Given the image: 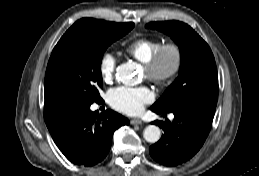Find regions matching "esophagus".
Instances as JSON below:
<instances>
[{
    "label": "esophagus",
    "mask_w": 259,
    "mask_h": 176,
    "mask_svg": "<svg viewBox=\"0 0 259 176\" xmlns=\"http://www.w3.org/2000/svg\"><path fill=\"white\" fill-rule=\"evenodd\" d=\"M130 122H131L132 125H140V124H142V120L139 119V118H134Z\"/></svg>",
    "instance_id": "obj_1"
}]
</instances>
